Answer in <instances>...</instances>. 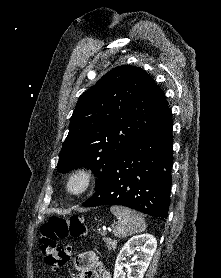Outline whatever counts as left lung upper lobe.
<instances>
[{
	"mask_svg": "<svg viewBox=\"0 0 221 278\" xmlns=\"http://www.w3.org/2000/svg\"><path fill=\"white\" fill-rule=\"evenodd\" d=\"M169 110L163 91L138 67L119 66L79 98L57 169L86 166L98 177L120 152Z\"/></svg>",
	"mask_w": 221,
	"mask_h": 278,
	"instance_id": "1",
	"label": "left lung upper lobe"
}]
</instances>
